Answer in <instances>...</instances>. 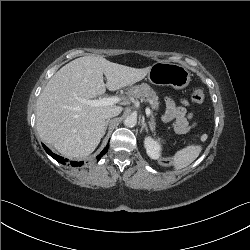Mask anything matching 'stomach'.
<instances>
[{
  "label": "stomach",
  "mask_w": 250,
  "mask_h": 250,
  "mask_svg": "<svg viewBox=\"0 0 250 250\" xmlns=\"http://www.w3.org/2000/svg\"><path fill=\"white\" fill-rule=\"evenodd\" d=\"M150 82L167 85L174 89H184L190 82V73L186 67L168 62H158L151 66L148 73Z\"/></svg>",
  "instance_id": "1"
}]
</instances>
